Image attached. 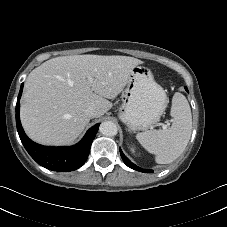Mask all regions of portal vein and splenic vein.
<instances>
[{"mask_svg":"<svg viewBox=\"0 0 227 227\" xmlns=\"http://www.w3.org/2000/svg\"><path fill=\"white\" fill-rule=\"evenodd\" d=\"M162 128L163 129H166L167 128V125L166 124H162Z\"/></svg>","mask_w":227,"mask_h":227,"instance_id":"1","label":"portal vein and splenic vein"}]
</instances>
